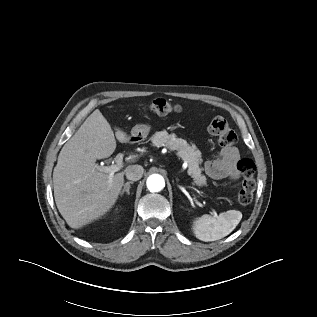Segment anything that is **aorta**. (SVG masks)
<instances>
[{"label": "aorta", "mask_w": 317, "mask_h": 317, "mask_svg": "<svg viewBox=\"0 0 317 317\" xmlns=\"http://www.w3.org/2000/svg\"><path fill=\"white\" fill-rule=\"evenodd\" d=\"M147 188L150 192H159L165 187V180L159 174H152L147 178Z\"/></svg>", "instance_id": "1"}]
</instances>
